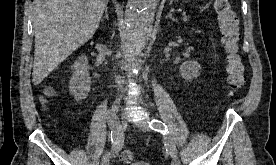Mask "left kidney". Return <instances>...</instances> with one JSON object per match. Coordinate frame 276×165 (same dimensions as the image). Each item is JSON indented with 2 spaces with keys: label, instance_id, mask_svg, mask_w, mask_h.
Listing matches in <instances>:
<instances>
[{
  "label": "left kidney",
  "instance_id": "obj_1",
  "mask_svg": "<svg viewBox=\"0 0 276 165\" xmlns=\"http://www.w3.org/2000/svg\"><path fill=\"white\" fill-rule=\"evenodd\" d=\"M200 73L201 66L197 61H186L180 66V74L187 81L197 78Z\"/></svg>",
  "mask_w": 276,
  "mask_h": 165
}]
</instances>
